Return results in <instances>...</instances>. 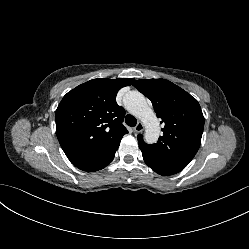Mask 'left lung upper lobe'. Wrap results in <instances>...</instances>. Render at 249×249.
<instances>
[{"label":"left lung upper lobe","instance_id":"1","mask_svg":"<svg viewBox=\"0 0 249 249\" xmlns=\"http://www.w3.org/2000/svg\"><path fill=\"white\" fill-rule=\"evenodd\" d=\"M133 86L151 100L164 125L157 143L146 144L142 135H138L141 151L154 158L188 165L199 149L204 128L198 101L165 79H141L134 81Z\"/></svg>","mask_w":249,"mask_h":249}]
</instances>
